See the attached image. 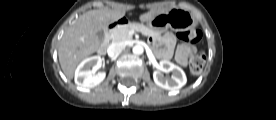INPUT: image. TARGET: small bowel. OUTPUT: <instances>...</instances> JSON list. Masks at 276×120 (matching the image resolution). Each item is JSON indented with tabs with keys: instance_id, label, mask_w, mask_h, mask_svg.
<instances>
[{
	"instance_id": "c3829d8e",
	"label": "small bowel",
	"mask_w": 276,
	"mask_h": 120,
	"mask_svg": "<svg viewBox=\"0 0 276 120\" xmlns=\"http://www.w3.org/2000/svg\"><path fill=\"white\" fill-rule=\"evenodd\" d=\"M176 38L172 33H167L161 40V48L157 55L163 59H169L173 55ZM194 49L188 44H179L175 51V60L180 65H186L189 57L193 54Z\"/></svg>"
}]
</instances>
